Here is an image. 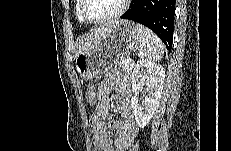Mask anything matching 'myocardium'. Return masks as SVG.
Instances as JSON below:
<instances>
[{
	"label": "myocardium",
	"instance_id": "f54148a6",
	"mask_svg": "<svg viewBox=\"0 0 231 151\" xmlns=\"http://www.w3.org/2000/svg\"><path fill=\"white\" fill-rule=\"evenodd\" d=\"M85 1L86 0L79 1V15L84 22L90 23V24H102V23H107V22L118 19L125 13L128 7V4L130 3V0H123L122 5L118 11H116L115 13L109 16L93 20V19L88 18L84 13Z\"/></svg>",
	"mask_w": 231,
	"mask_h": 151
}]
</instances>
